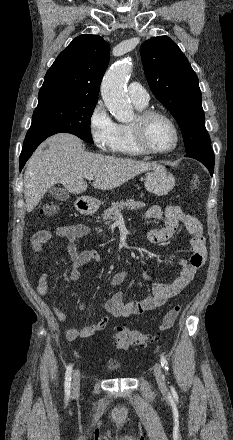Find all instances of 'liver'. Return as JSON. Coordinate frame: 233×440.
<instances>
[{
    "label": "liver",
    "mask_w": 233,
    "mask_h": 440,
    "mask_svg": "<svg viewBox=\"0 0 233 440\" xmlns=\"http://www.w3.org/2000/svg\"><path fill=\"white\" fill-rule=\"evenodd\" d=\"M158 167L162 166L155 162L86 152L82 141L75 135L57 133L49 137L27 163L24 173L26 210L30 213L55 184H63L72 194H81L88 186L85 175L92 174L95 189L111 190Z\"/></svg>",
    "instance_id": "liver-1"
}]
</instances>
